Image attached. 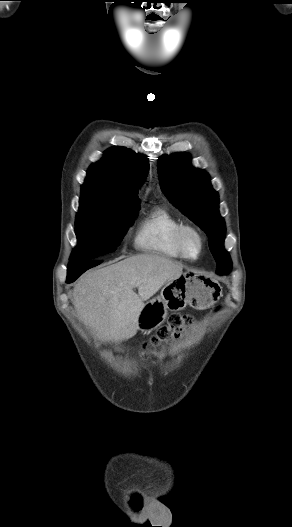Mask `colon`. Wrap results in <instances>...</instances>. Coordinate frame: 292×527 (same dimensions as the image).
<instances>
[{
	"label": "colon",
	"mask_w": 292,
	"mask_h": 527,
	"mask_svg": "<svg viewBox=\"0 0 292 527\" xmlns=\"http://www.w3.org/2000/svg\"><path fill=\"white\" fill-rule=\"evenodd\" d=\"M192 323L193 318L190 315H172L168 322L161 326L145 345L155 347L168 344L174 339L182 337Z\"/></svg>",
	"instance_id": "1"
}]
</instances>
